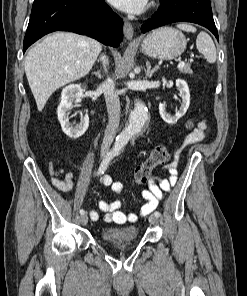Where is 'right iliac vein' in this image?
<instances>
[{"label":"right iliac vein","mask_w":247,"mask_h":296,"mask_svg":"<svg viewBox=\"0 0 247 296\" xmlns=\"http://www.w3.org/2000/svg\"><path fill=\"white\" fill-rule=\"evenodd\" d=\"M80 222L83 224V225H86L87 222H88V216L86 214H83L82 216H80Z\"/></svg>","instance_id":"63e3f726"}]
</instances>
